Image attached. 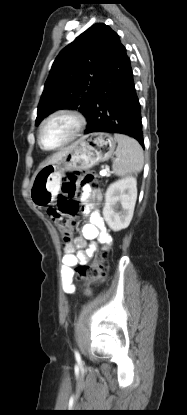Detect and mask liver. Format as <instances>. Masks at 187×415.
Instances as JSON below:
<instances>
[{"mask_svg": "<svg viewBox=\"0 0 187 415\" xmlns=\"http://www.w3.org/2000/svg\"><path fill=\"white\" fill-rule=\"evenodd\" d=\"M70 148L71 146L64 148L60 150L59 152L53 154L52 157L48 159L44 165L53 164V163L60 161L69 152Z\"/></svg>", "mask_w": 187, "mask_h": 415, "instance_id": "6515ba94", "label": "liver"}]
</instances>
